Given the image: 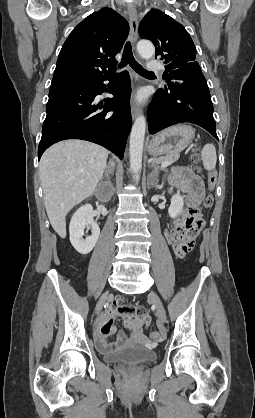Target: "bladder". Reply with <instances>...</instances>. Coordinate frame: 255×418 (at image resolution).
I'll return each mask as SVG.
<instances>
[{
  "instance_id": "obj_1",
  "label": "bladder",
  "mask_w": 255,
  "mask_h": 418,
  "mask_svg": "<svg viewBox=\"0 0 255 418\" xmlns=\"http://www.w3.org/2000/svg\"><path fill=\"white\" fill-rule=\"evenodd\" d=\"M156 358L157 353L154 350L139 346L105 355V360L109 363L144 364L152 362Z\"/></svg>"
}]
</instances>
